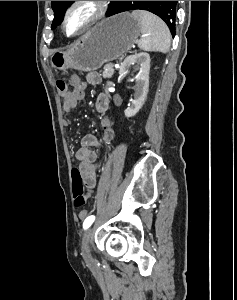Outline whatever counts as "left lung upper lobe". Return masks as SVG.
Listing matches in <instances>:
<instances>
[{
	"label": "left lung upper lobe",
	"mask_w": 237,
	"mask_h": 300,
	"mask_svg": "<svg viewBox=\"0 0 237 300\" xmlns=\"http://www.w3.org/2000/svg\"><path fill=\"white\" fill-rule=\"evenodd\" d=\"M74 1H52V9L54 11V20L52 28L62 22L64 13L71 3ZM111 9L120 13L129 10H147L162 18L169 27L172 36L175 34V17L176 4L178 1H110Z\"/></svg>",
	"instance_id": "5c2ea615"
}]
</instances>
